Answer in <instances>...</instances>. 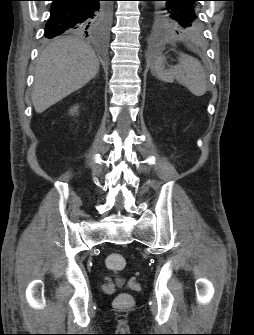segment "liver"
I'll list each match as a JSON object with an SVG mask.
<instances>
[{
    "instance_id": "liver-1",
    "label": "liver",
    "mask_w": 254,
    "mask_h": 335,
    "mask_svg": "<svg viewBox=\"0 0 254 335\" xmlns=\"http://www.w3.org/2000/svg\"><path fill=\"white\" fill-rule=\"evenodd\" d=\"M99 71V60L92 47L73 37L49 44L38 58L32 103L42 113L72 92L82 88Z\"/></svg>"
}]
</instances>
